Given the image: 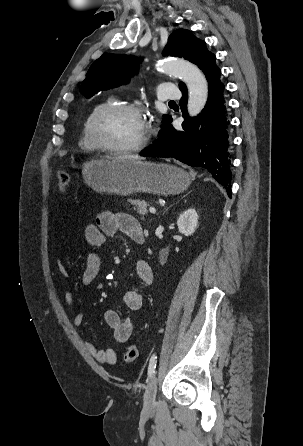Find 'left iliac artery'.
Returning <instances> with one entry per match:
<instances>
[{
    "label": "left iliac artery",
    "mask_w": 303,
    "mask_h": 446,
    "mask_svg": "<svg viewBox=\"0 0 303 446\" xmlns=\"http://www.w3.org/2000/svg\"><path fill=\"white\" fill-rule=\"evenodd\" d=\"M156 359H157V356L155 354H153L150 359L149 366H148V376L149 377H152V375L155 373Z\"/></svg>",
    "instance_id": "obj_1"
}]
</instances>
